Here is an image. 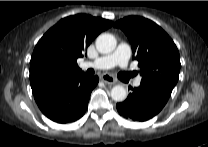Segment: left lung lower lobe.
Wrapping results in <instances>:
<instances>
[{"instance_id":"obj_1","label":"left lung lower lobe","mask_w":208,"mask_h":147,"mask_svg":"<svg viewBox=\"0 0 208 147\" xmlns=\"http://www.w3.org/2000/svg\"><path fill=\"white\" fill-rule=\"evenodd\" d=\"M124 102L116 105L121 116L134 121H146L158 114L167 103L171 92L151 84L133 88Z\"/></svg>"}]
</instances>
